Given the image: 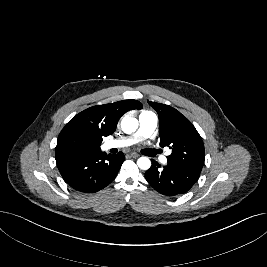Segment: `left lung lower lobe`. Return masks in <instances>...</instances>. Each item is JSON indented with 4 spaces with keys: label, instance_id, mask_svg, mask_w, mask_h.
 <instances>
[{
    "label": "left lung lower lobe",
    "instance_id": "1",
    "mask_svg": "<svg viewBox=\"0 0 267 267\" xmlns=\"http://www.w3.org/2000/svg\"><path fill=\"white\" fill-rule=\"evenodd\" d=\"M145 173L148 183L159 193L166 196H176L186 193L200 177L198 171L168 163L161 168L155 160Z\"/></svg>",
    "mask_w": 267,
    "mask_h": 267
}]
</instances>
